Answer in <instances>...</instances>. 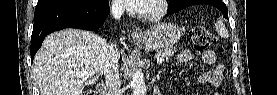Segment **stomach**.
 I'll return each instance as SVG.
<instances>
[{"instance_id": "0dacf381", "label": "stomach", "mask_w": 277, "mask_h": 95, "mask_svg": "<svg viewBox=\"0 0 277 95\" xmlns=\"http://www.w3.org/2000/svg\"><path fill=\"white\" fill-rule=\"evenodd\" d=\"M183 35L182 29L172 23H161L144 33L135 42L146 50H162L178 42Z\"/></svg>"}]
</instances>
